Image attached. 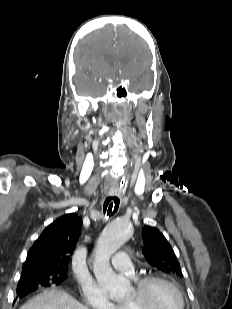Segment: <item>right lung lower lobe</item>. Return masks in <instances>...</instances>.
Wrapping results in <instances>:
<instances>
[{
	"label": "right lung lower lobe",
	"instance_id": "right-lung-lower-lobe-1",
	"mask_svg": "<svg viewBox=\"0 0 232 309\" xmlns=\"http://www.w3.org/2000/svg\"><path fill=\"white\" fill-rule=\"evenodd\" d=\"M37 287H32V286H22L19 289H17V297H24L28 295L29 293L35 291Z\"/></svg>",
	"mask_w": 232,
	"mask_h": 309
}]
</instances>
